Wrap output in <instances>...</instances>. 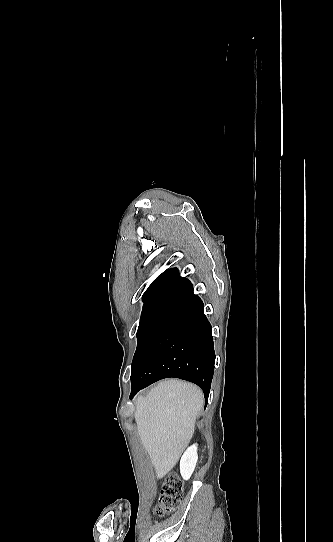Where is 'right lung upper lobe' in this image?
Listing matches in <instances>:
<instances>
[{
    "label": "right lung upper lobe",
    "instance_id": "1",
    "mask_svg": "<svg viewBox=\"0 0 333 542\" xmlns=\"http://www.w3.org/2000/svg\"><path fill=\"white\" fill-rule=\"evenodd\" d=\"M184 279L179 276L177 269L166 270L145 291L143 301L145 304H158Z\"/></svg>",
    "mask_w": 333,
    "mask_h": 542
}]
</instances>
